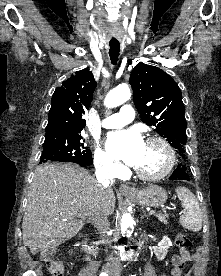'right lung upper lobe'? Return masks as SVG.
<instances>
[{"label":"right lung upper lobe","mask_w":221,"mask_h":276,"mask_svg":"<svg viewBox=\"0 0 221 276\" xmlns=\"http://www.w3.org/2000/svg\"><path fill=\"white\" fill-rule=\"evenodd\" d=\"M96 82L87 68L75 72L57 87L51 100L46 135L81 132L86 121L82 115L89 109Z\"/></svg>","instance_id":"right-lung-upper-lobe-1"}]
</instances>
